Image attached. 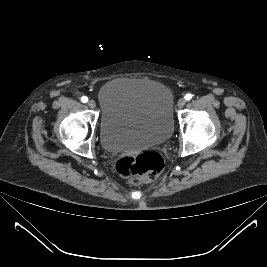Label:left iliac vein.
<instances>
[{"mask_svg":"<svg viewBox=\"0 0 267 267\" xmlns=\"http://www.w3.org/2000/svg\"><path fill=\"white\" fill-rule=\"evenodd\" d=\"M185 104H186V99H185V98H180V99L178 100L177 105H178L179 108L184 107Z\"/></svg>","mask_w":267,"mask_h":267,"instance_id":"obj_1","label":"left iliac vein"}]
</instances>
